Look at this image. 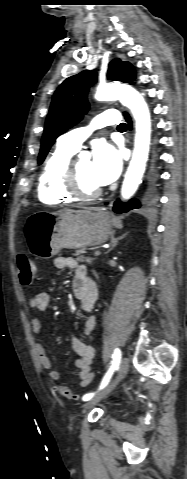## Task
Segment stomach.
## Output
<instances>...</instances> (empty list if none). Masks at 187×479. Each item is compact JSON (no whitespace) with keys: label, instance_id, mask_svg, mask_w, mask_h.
I'll list each match as a JSON object with an SVG mask.
<instances>
[{"label":"stomach","instance_id":"1","mask_svg":"<svg viewBox=\"0 0 187 479\" xmlns=\"http://www.w3.org/2000/svg\"><path fill=\"white\" fill-rule=\"evenodd\" d=\"M113 233L110 215L96 207L39 211L24 226L29 251L42 259L55 256L62 248L102 244Z\"/></svg>","mask_w":187,"mask_h":479}]
</instances>
